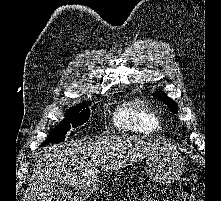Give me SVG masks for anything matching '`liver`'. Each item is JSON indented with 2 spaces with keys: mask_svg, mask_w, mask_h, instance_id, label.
Segmentation results:
<instances>
[{
  "mask_svg": "<svg viewBox=\"0 0 221 201\" xmlns=\"http://www.w3.org/2000/svg\"><path fill=\"white\" fill-rule=\"evenodd\" d=\"M167 148L142 138L111 135L95 140H75L49 147L33 169L26 201H51L59 185L89 187L98 182L102 171L134 164Z\"/></svg>",
  "mask_w": 221,
  "mask_h": 201,
  "instance_id": "6515ba94",
  "label": "liver"
}]
</instances>
